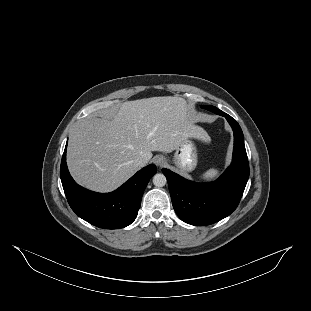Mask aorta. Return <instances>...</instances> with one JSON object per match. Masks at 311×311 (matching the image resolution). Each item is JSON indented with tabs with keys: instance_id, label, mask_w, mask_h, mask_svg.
Masks as SVG:
<instances>
[{
	"instance_id": "aorta-1",
	"label": "aorta",
	"mask_w": 311,
	"mask_h": 311,
	"mask_svg": "<svg viewBox=\"0 0 311 311\" xmlns=\"http://www.w3.org/2000/svg\"><path fill=\"white\" fill-rule=\"evenodd\" d=\"M152 181H153V184L156 186V187H163L166 185L167 183V179L165 177L164 174H155L152 178Z\"/></svg>"
}]
</instances>
